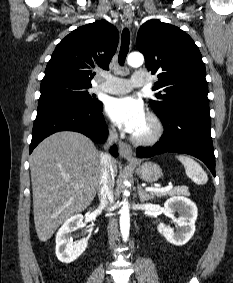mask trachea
I'll list each match as a JSON object with an SVG mask.
<instances>
[{"mask_svg":"<svg viewBox=\"0 0 233 283\" xmlns=\"http://www.w3.org/2000/svg\"><path fill=\"white\" fill-rule=\"evenodd\" d=\"M129 43H130L129 30L127 28H124L122 31V36H121V47H120L119 58H118L120 65H124L126 56L129 51Z\"/></svg>","mask_w":233,"mask_h":283,"instance_id":"obj_1","label":"trachea"}]
</instances>
